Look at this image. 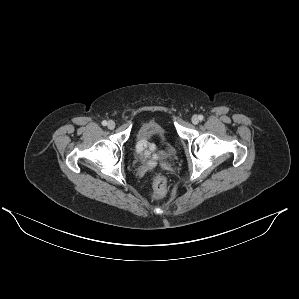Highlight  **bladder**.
<instances>
[{
    "label": "bladder",
    "mask_w": 299,
    "mask_h": 299,
    "mask_svg": "<svg viewBox=\"0 0 299 299\" xmlns=\"http://www.w3.org/2000/svg\"><path fill=\"white\" fill-rule=\"evenodd\" d=\"M141 142L158 144L160 156L168 160L176 153V144L174 139L169 135L167 130L157 121L150 120L141 124L135 134V144Z\"/></svg>",
    "instance_id": "31cf9c89"
}]
</instances>
